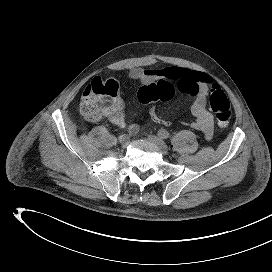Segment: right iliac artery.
Segmentation results:
<instances>
[{
  "label": "right iliac artery",
  "instance_id": "right-iliac-artery-1",
  "mask_svg": "<svg viewBox=\"0 0 272 272\" xmlns=\"http://www.w3.org/2000/svg\"><path fill=\"white\" fill-rule=\"evenodd\" d=\"M130 135L136 134L139 131V126L137 124H132L127 129Z\"/></svg>",
  "mask_w": 272,
  "mask_h": 272
}]
</instances>
